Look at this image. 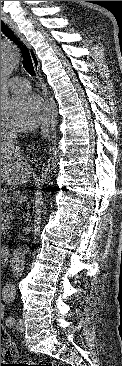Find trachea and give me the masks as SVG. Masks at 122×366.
I'll list each match as a JSON object with an SVG mask.
<instances>
[{
    "instance_id": "3493384b",
    "label": "trachea",
    "mask_w": 122,
    "mask_h": 366,
    "mask_svg": "<svg viewBox=\"0 0 122 366\" xmlns=\"http://www.w3.org/2000/svg\"><path fill=\"white\" fill-rule=\"evenodd\" d=\"M1 32L20 48L23 58V66L25 70L31 76H35L36 73L28 48L24 46L21 42H19L18 38L14 35L12 30L7 25H5V23L2 20H1Z\"/></svg>"
}]
</instances>
